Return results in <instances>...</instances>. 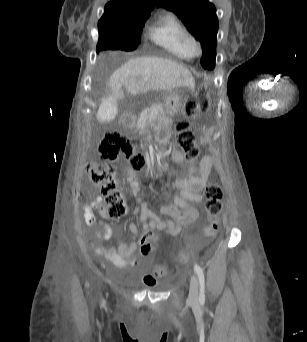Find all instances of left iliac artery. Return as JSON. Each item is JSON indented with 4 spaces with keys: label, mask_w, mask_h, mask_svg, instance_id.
Here are the masks:
<instances>
[{
    "label": "left iliac artery",
    "mask_w": 307,
    "mask_h": 342,
    "mask_svg": "<svg viewBox=\"0 0 307 342\" xmlns=\"http://www.w3.org/2000/svg\"><path fill=\"white\" fill-rule=\"evenodd\" d=\"M194 269L197 273L199 282H200V294H199V301L201 304L205 303V276L203 269L198 265H194Z\"/></svg>",
    "instance_id": "left-iliac-artery-1"
}]
</instances>
